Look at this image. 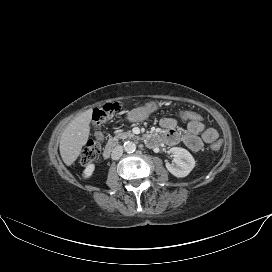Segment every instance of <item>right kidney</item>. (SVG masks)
I'll return each instance as SVG.
<instances>
[{
  "label": "right kidney",
  "instance_id": "right-kidney-1",
  "mask_svg": "<svg viewBox=\"0 0 272 272\" xmlns=\"http://www.w3.org/2000/svg\"><path fill=\"white\" fill-rule=\"evenodd\" d=\"M94 170H95L94 164L87 165L83 171V174H82L83 178H85V179L90 178L92 176Z\"/></svg>",
  "mask_w": 272,
  "mask_h": 272
}]
</instances>
